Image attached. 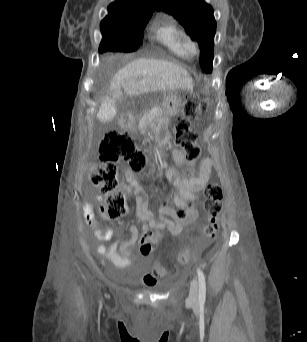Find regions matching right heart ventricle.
Segmentation results:
<instances>
[{
  "instance_id": "e07e8e85",
  "label": "right heart ventricle",
  "mask_w": 307,
  "mask_h": 342,
  "mask_svg": "<svg viewBox=\"0 0 307 342\" xmlns=\"http://www.w3.org/2000/svg\"><path fill=\"white\" fill-rule=\"evenodd\" d=\"M159 43L179 58L191 56V35L186 27L174 18L169 19L158 35Z\"/></svg>"
}]
</instances>
